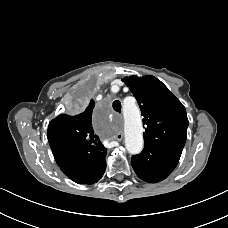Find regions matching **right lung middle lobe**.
<instances>
[{
  "label": "right lung middle lobe",
  "instance_id": "right-lung-middle-lobe-1",
  "mask_svg": "<svg viewBox=\"0 0 228 228\" xmlns=\"http://www.w3.org/2000/svg\"><path fill=\"white\" fill-rule=\"evenodd\" d=\"M89 95H90V90L89 89H85L83 91H81L77 97L75 98V107L76 108H82L84 107L89 99Z\"/></svg>",
  "mask_w": 228,
  "mask_h": 228
}]
</instances>
